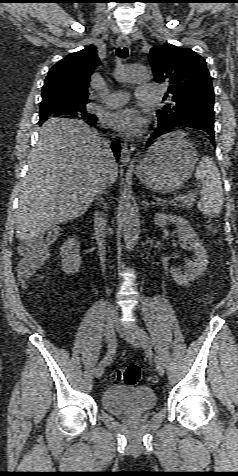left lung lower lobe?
Segmentation results:
<instances>
[{"label":"left lung lower lobe","mask_w":238,"mask_h":476,"mask_svg":"<svg viewBox=\"0 0 238 476\" xmlns=\"http://www.w3.org/2000/svg\"><path fill=\"white\" fill-rule=\"evenodd\" d=\"M189 127V128H195V129H201L209 134L207 138L211 141L213 145H215V137H214V120H211L206 117H201V116H194V117H189L177 121H165V122H160L158 121V126L155 129V131L151 134V138L147 141V147L153 145L155 142V139L159 137L161 132L174 128V127Z\"/></svg>","instance_id":"obj_1"}]
</instances>
